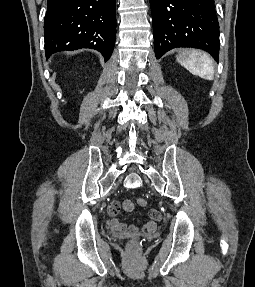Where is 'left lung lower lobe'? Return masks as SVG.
<instances>
[{
	"label": "left lung lower lobe",
	"mask_w": 255,
	"mask_h": 287,
	"mask_svg": "<svg viewBox=\"0 0 255 287\" xmlns=\"http://www.w3.org/2000/svg\"><path fill=\"white\" fill-rule=\"evenodd\" d=\"M156 58L176 47L199 48L219 58L214 0H150Z\"/></svg>",
	"instance_id": "left-lung-lower-lobe-1"
}]
</instances>
